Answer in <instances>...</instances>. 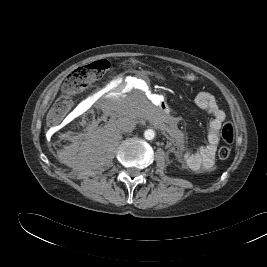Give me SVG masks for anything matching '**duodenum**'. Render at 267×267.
<instances>
[{"mask_svg":"<svg viewBox=\"0 0 267 267\" xmlns=\"http://www.w3.org/2000/svg\"><path fill=\"white\" fill-rule=\"evenodd\" d=\"M115 91L117 93H122L124 96H127V97L137 96L138 98H141V99L147 98V93L144 91H141L140 89H131V90L128 89V84L126 82H117L115 84ZM156 108L168 114V107L165 103L158 104Z\"/></svg>","mask_w":267,"mask_h":267,"instance_id":"obj_1","label":"duodenum"}]
</instances>
